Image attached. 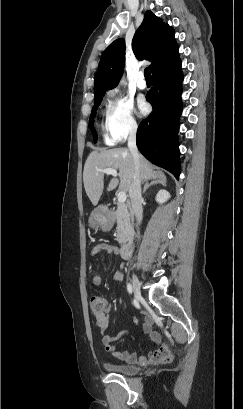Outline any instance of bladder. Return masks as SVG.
<instances>
[{
    "mask_svg": "<svg viewBox=\"0 0 243 409\" xmlns=\"http://www.w3.org/2000/svg\"><path fill=\"white\" fill-rule=\"evenodd\" d=\"M105 367L112 373L133 376L139 373L140 367L138 365H128L123 363H109Z\"/></svg>",
    "mask_w": 243,
    "mask_h": 409,
    "instance_id": "31cf9c89",
    "label": "bladder"
}]
</instances>
